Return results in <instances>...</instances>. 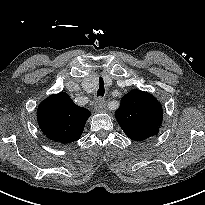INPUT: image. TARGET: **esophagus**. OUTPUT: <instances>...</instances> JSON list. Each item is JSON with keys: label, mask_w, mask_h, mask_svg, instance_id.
<instances>
[{"label": "esophagus", "mask_w": 205, "mask_h": 205, "mask_svg": "<svg viewBox=\"0 0 205 205\" xmlns=\"http://www.w3.org/2000/svg\"><path fill=\"white\" fill-rule=\"evenodd\" d=\"M106 108V101L102 98L97 99L95 102V110L96 111H103Z\"/></svg>", "instance_id": "esophagus-1"}]
</instances>
